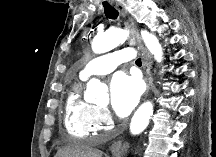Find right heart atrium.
<instances>
[{
    "label": "right heart atrium",
    "instance_id": "1",
    "mask_svg": "<svg viewBox=\"0 0 216 157\" xmlns=\"http://www.w3.org/2000/svg\"><path fill=\"white\" fill-rule=\"evenodd\" d=\"M112 117L109 111L104 107H95L92 124L94 131H102L111 125Z\"/></svg>",
    "mask_w": 216,
    "mask_h": 157
}]
</instances>
